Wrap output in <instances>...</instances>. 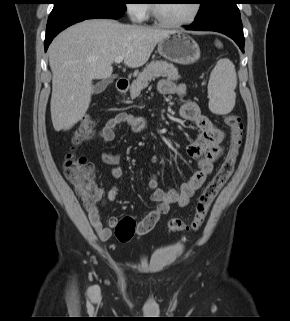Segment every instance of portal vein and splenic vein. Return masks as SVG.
I'll use <instances>...</instances> for the list:
<instances>
[{"mask_svg":"<svg viewBox=\"0 0 290 321\" xmlns=\"http://www.w3.org/2000/svg\"><path fill=\"white\" fill-rule=\"evenodd\" d=\"M123 59H124V57H122V56H119V57H116L115 59H114V61H115V63H121L122 61H123Z\"/></svg>","mask_w":290,"mask_h":321,"instance_id":"obj_1","label":"portal vein and splenic vein"}]
</instances>
